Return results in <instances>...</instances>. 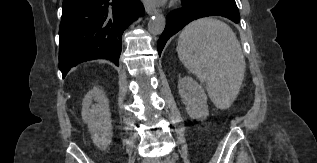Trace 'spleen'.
<instances>
[{
    "label": "spleen",
    "mask_w": 317,
    "mask_h": 163,
    "mask_svg": "<svg viewBox=\"0 0 317 163\" xmlns=\"http://www.w3.org/2000/svg\"><path fill=\"white\" fill-rule=\"evenodd\" d=\"M177 52L189 72L206 85L213 104L229 108L245 73V59L232 29L215 18L193 21L181 32Z\"/></svg>",
    "instance_id": "3e777b00"
}]
</instances>
